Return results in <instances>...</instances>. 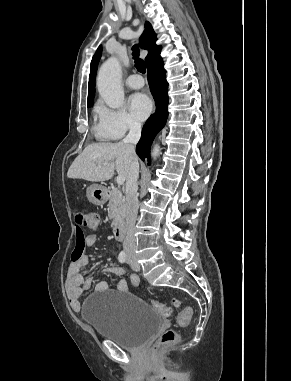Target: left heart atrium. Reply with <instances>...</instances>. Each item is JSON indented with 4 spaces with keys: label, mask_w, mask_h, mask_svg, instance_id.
Segmentation results:
<instances>
[{
    "label": "left heart atrium",
    "mask_w": 291,
    "mask_h": 381,
    "mask_svg": "<svg viewBox=\"0 0 291 381\" xmlns=\"http://www.w3.org/2000/svg\"><path fill=\"white\" fill-rule=\"evenodd\" d=\"M130 109L139 120H144L152 111L150 98L143 93H136L130 98Z\"/></svg>",
    "instance_id": "obj_1"
}]
</instances>
